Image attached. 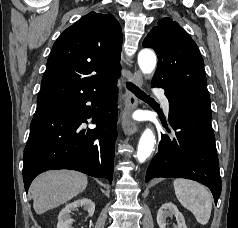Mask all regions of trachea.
Segmentation results:
<instances>
[{"label": "trachea", "mask_w": 238, "mask_h": 228, "mask_svg": "<svg viewBox=\"0 0 238 228\" xmlns=\"http://www.w3.org/2000/svg\"><path fill=\"white\" fill-rule=\"evenodd\" d=\"M127 88L132 91L137 97L140 99H151L150 96H148L146 93H144L142 90H140L137 86L134 84L128 82L127 83Z\"/></svg>", "instance_id": "3493384b"}]
</instances>
